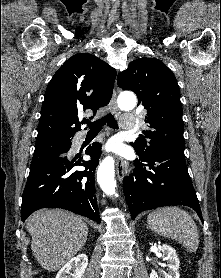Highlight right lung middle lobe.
<instances>
[{
    "mask_svg": "<svg viewBox=\"0 0 221 278\" xmlns=\"http://www.w3.org/2000/svg\"><path fill=\"white\" fill-rule=\"evenodd\" d=\"M70 146L71 138L58 139L36 145L30 168L44 162L55 154L69 151Z\"/></svg>",
    "mask_w": 221,
    "mask_h": 278,
    "instance_id": "dd1d6c3e",
    "label": "right lung middle lobe"
}]
</instances>
